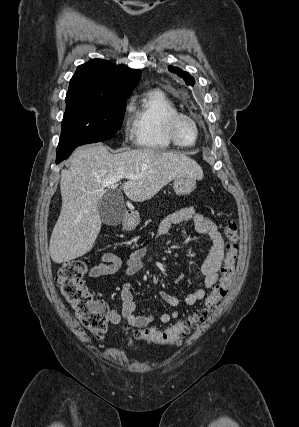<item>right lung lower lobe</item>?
<instances>
[{"label":"right lung lower lobe","instance_id":"98d812e1","mask_svg":"<svg viewBox=\"0 0 299 427\" xmlns=\"http://www.w3.org/2000/svg\"><path fill=\"white\" fill-rule=\"evenodd\" d=\"M82 144H78V145H74L72 147H69L67 149L61 150V151H57V157H56V163H60L62 162L64 159H66L71 152L78 146H80Z\"/></svg>","mask_w":299,"mask_h":427}]
</instances>
